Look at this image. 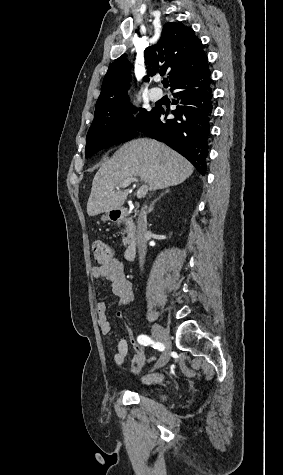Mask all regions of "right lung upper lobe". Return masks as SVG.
Wrapping results in <instances>:
<instances>
[{"label": "right lung upper lobe", "mask_w": 283, "mask_h": 475, "mask_svg": "<svg viewBox=\"0 0 283 475\" xmlns=\"http://www.w3.org/2000/svg\"><path fill=\"white\" fill-rule=\"evenodd\" d=\"M144 54L148 75L167 74L170 86L208 68L201 40L193 29L180 22L166 23L158 43L146 48ZM130 70L131 64L125 59V54L109 65L96 108L128 102L126 93L131 80ZM144 80L148 81V77Z\"/></svg>", "instance_id": "1"}]
</instances>
